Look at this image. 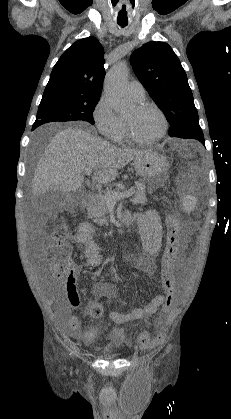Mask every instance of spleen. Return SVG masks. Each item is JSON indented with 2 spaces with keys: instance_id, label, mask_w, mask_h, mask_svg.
<instances>
[{
  "instance_id": "spleen-1",
  "label": "spleen",
  "mask_w": 231,
  "mask_h": 419,
  "mask_svg": "<svg viewBox=\"0 0 231 419\" xmlns=\"http://www.w3.org/2000/svg\"><path fill=\"white\" fill-rule=\"evenodd\" d=\"M196 205V199L193 196H186L183 199V208L186 212L194 210Z\"/></svg>"
}]
</instances>
